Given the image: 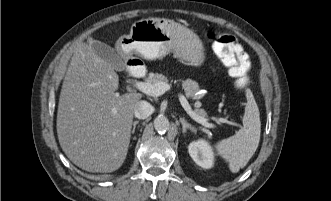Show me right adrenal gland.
<instances>
[{
    "label": "right adrenal gland",
    "mask_w": 331,
    "mask_h": 201,
    "mask_svg": "<svg viewBox=\"0 0 331 201\" xmlns=\"http://www.w3.org/2000/svg\"><path fill=\"white\" fill-rule=\"evenodd\" d=\"M139 123V121L137 120V121H134L133 122V128H132V134H134V132H135V128H136V125Z\"/></svg>",
    "instance_id": "2a0ac1e0"
}]
</instances>
